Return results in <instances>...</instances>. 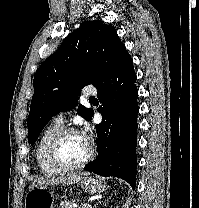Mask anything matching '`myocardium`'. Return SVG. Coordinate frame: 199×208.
Listing matches in <instances>:
<instances>
[{
    "label": "myocardium",
    "instance_id": "myocardium-1",
    "mask_svg": "<svg viewBox=\"0 0 199 208\" xmlns=\"http://www.w3.org/2000/svg\"><path fill=\"white\" fill-rule=\"evenodd\" d=\"M71 134H81L79 130L73 127L62 128L51 140L48 146V160L50 164L60 172H74L85 167L93 158L94 150L93 147L87 142L88 153L86 157L77 164L68 165L65 164L59 157V147L62 141Z\"/></svg>",
    "mask_w": 199,
    "mask_h": 208
}]
</instances>
